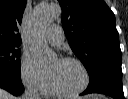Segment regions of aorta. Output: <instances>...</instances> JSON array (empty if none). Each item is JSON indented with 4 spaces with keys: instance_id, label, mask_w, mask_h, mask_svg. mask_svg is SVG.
Wrapping results in <instances>:
<instances>
[{
    "instance_id": "1",
    "label": "aorta",
    "mask_w": 128,
    "mask_h": 99,
    "mask_svg": "<svg viewBox=\"0 0 128 99\" xmlns=\"http://www.w3.org/2000/svg\"><path fill=\"white\" fill-rule=\"evenodd\" d=\"M61 13L56 3L42 5L35 9L33 17V33L29 40V48L40 66H47L57 59L55 51L50 49L41 37V30L53 22Z\"/></svg>"
}]
</instances>
